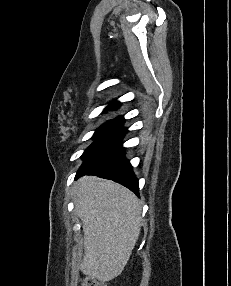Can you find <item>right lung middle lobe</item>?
I'll use <instances>...</instances> for the list:
<instances>
[{"instance_id":"dd1d6c3e","label":"right lung middle lobe","mask_w":231,"mask_h":286,"mask_svg":"<svg viewBox=\"0 0 231 286\" xmlns=\"http://www.w3.org/2000/svg\"><path fill=\"white\" fill-rule=\"evenodd\" d=\"M116 108L117 107L108 106L103 112ZM124 121L125 120L123 117H119L104 123L100 128H98L93 135L95 142L92 143L91 146L84 152L83 157L97 147L101 142L111 136L116 130H118L123 125Z\"/></svg>"}]
</instances>
